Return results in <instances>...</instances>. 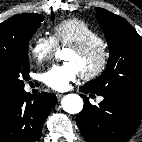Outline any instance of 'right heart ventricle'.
Listing matches in <instances>:
<instances>
[{
	"label": "right heart ventricle",
	"instance_id": "1",
	"mask_svg": "<svg viewBox=\"0 0 142 142\" xmlns=\"http://www.w3.org/2000/svg\"><path fill=\"white\" fill-rule=\"evenodd\" d=\"M56 44L75 46L93 42H104L100 33L84 20L70 18L55 24L52 28Z\"/></svg>",
	"mask_w": 142,
	"mask_h": 142
}]
</instances>
